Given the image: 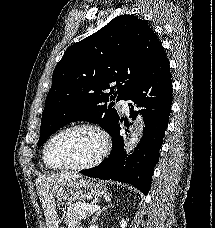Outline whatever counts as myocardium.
Listing matches in <instances>:
<instances>
[{
  "mask_svg": "<svg viewBox=\"0 0 215 228\" xmlns=\"http://www.w3.org/2000/svg\"><path fill=\"white\" fill-rule=\"evenodd\" d=\"M73 129H88V130H92V131L96 132L98 134V136L100 137L101 143H102L99 153L93 159H91L90 161L83 163V164L60 166V167L53 166L48 161V150H49L51 143L62 133L73 130ZM109 151H110L109 136L100 126L93 124V123H88V122H77V123H73V124L63 127L62 129L55 132L47 140V142L45 143V146L43 148L42 159H43L45 166L54 171H65V170L82 171V170H87V169L93 168V167L99 165L100 163H102V161L105 159V157L107 156Z\"/></svg>",
  "mask_w": 215,
  "mask_h": 228,
  "instance_id": "myocardium-1",
  "label": "myocardium"
}]
</instances>
